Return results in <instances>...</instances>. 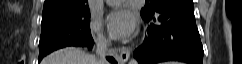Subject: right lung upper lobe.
Masks as SVG:
<instances>
[{
	"label": "right lung upper lobe",
	"mask_w": 242,
	"mask_h": 64,
	"mask_svg": "<svg viewBox=\"0 0 242 64\" xmlns=\"http://www.w3.org/2000/svg\"><path fill=\"white\" fill-rule=\"evenodd\" d=\"M88 8L87 0H45L43 13Z\"/></svg>",
	"instance_id": "cb5924a9"
}]
</instances>
